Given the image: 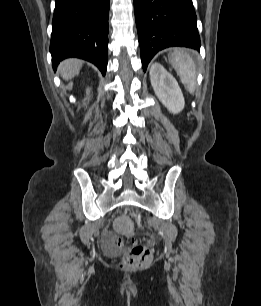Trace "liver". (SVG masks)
Listing matches in <instances>:
<instances>
[{"mask_svg":"<svg viewBox=\"0 0 261 306\" xmlns=\"http://www.w3.org/2000/svg\"><path fill=\"white\" fill-rule=\"evenodd\" d=\"M80 68H81L80 61L75 59H69L61 63L59 71L64 79L69 80L79 73Z\"/></svg>","mask_w":261,"mask_h":306,"instance_id":"obj_1","label":"liver"}]
</instances>
